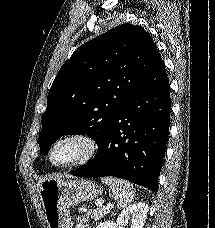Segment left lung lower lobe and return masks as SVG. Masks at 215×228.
<instances>
[{"instance_id": "left-lung-lower-lobe-1", "label": "left lung lower lobe", "mask_w": 215, "mask_h": 228, "mask_svg": "<svg viewBox=\"0 0 215 228\" xmlns=\"http://www.w3.org/2000/svg\"><path fill=\"white\" fill-rule=\"evenodd\" d=\"M169 90L165 65L158 54L145 78L118 110L94 160L71 174L114 176L156 193L169 135Z\"/></svg>"}]
</instances>
